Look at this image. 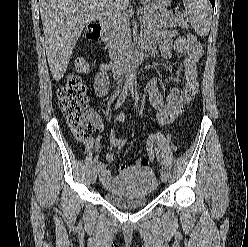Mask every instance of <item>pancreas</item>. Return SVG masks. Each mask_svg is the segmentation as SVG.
Instances as JSON below:
<instances>
[{
  "mask_svg": "<svg viewBox=\"0 0 248 247\" xmlns=\"http://www.w3.org/2000/svg\"><path fill=\"white\" fill-rule=\"evenodd\" d=\"M144 16L141 17V22L148 28H162V27H182L188 28V24L181 17L168 15L167 17L161 15L156 10L142 9ZM109 29L104 38L107 42L109 55L119 56L125 53L131 43L130 37V23L129 19L123 15L111 17L108 21Z\"/></svg>",
  "mask_w": 248,
  "mask_h": 247,
  "instance_id": "obj_1",
  "label": "pancreas"
}]
</instances>
